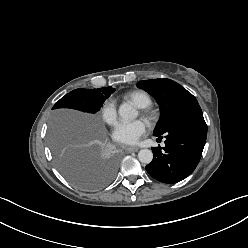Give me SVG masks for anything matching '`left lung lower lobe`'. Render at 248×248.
I'll return each instance as SVG.
<instances>
[{
	"instance_id": "left-lung-lower-lobe-1",
	"label": "left lung lower lobe",
	"mask_w": 248,
	"mask_h": 248,
	"mask_svg": "<svg viewBox=\"0 0 248 248\" xmlns=\"http://www.w3.org/2000/svg\"><path fill=\"white\" fill-rule=\"evenodd\" d=\"M165 136V147H153V160L147 172L163 183H176L196 168L207 137V125L201 108H195L177 119L158 139Z\"/></svg>"
}]
</instances>
